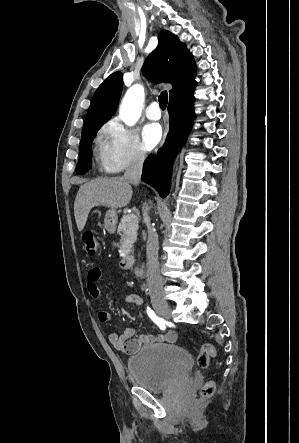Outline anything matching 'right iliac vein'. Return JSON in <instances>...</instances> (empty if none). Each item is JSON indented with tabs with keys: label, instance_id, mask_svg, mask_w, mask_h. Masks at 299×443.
<instances>
[{
	"label": "right iliac vein",
	"instance_id": "right-iliac-vein-1",
	"mask_svg": "<svg viewBox=\"0 0 299 443\" xmlns=\"http://www.w3.org/2000/svg\"><path fill=\"white\" fill-rule=\"evenodd\" d=\"M154 309L165 319H170L171 308L166 302L156 301L154 303Z\"/></svg>",
	"mask_w": 299,
	"mask_h": 443
}]
</instances>
